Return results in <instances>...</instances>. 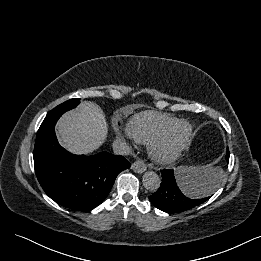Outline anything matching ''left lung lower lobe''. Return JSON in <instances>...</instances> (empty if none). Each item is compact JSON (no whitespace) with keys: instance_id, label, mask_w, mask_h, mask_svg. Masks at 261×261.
I'll return each mask as SVG.
<instances>
[{"instance_id":"left-lung-lower-lobe-1","label":"left lung lower lobe","mask_w":261,"mask_h":261,"mask_svg":"<svg viewBox=\"0 0 261 261\" xmlns=\"http://www.w3.org/2000/svg\"><path fill=\"white\" fill-rule=\"evenodd\" d=\"M226 159H229V151L227 150ZM162 183L160 188L151 196H149L152 204L167 213H180L192 209L210 197L195 198L192 194H197L200 190L199 185L192 181L190 177L181 180L173 170L163 169ZM211 186V185H209Z\"/></svg>"}]
</instances>
